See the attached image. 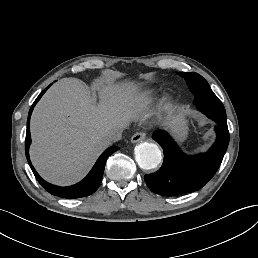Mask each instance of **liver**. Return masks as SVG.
Returning a JSON list of instances; mask_svg holds the SVG:
<instances>
[{
  "label": "liver",
  "instance_id": "obj_1",
  "mask_svg": "<svg viewBox=\"0 0 258 258\" xmlns=\"http://www.w3.org/2000/svg\"><path fill=\"white\" fill-rule=\"evenodd\" d=\"M96 97L77 78L54 83L33 109L30 119V161L46 182L72 186L83 180L100 155L111 146L107 133L124 130L153 115L150 92L131 78L98 83ZM156 121L175 137L185 114L165 103Z\"/></svg>",
  "mask_w": 258,
  "mask_h": 258
}]
</instances>
